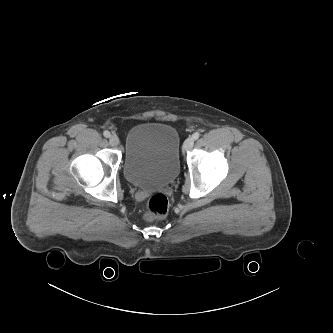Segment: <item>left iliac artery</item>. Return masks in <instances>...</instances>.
Here are the masks:
<instances>
[{"label":"left iliac artery","mask_w":333,"mask_h":333,"mask_svg":"<svg viewBox=\"0 0 333 333\" xmlns=\"http://www.w3.org/2000/svg\"><path fill=\"white\" fill-rule=\"evenodd\" d=\"M199 137H200V133H199V132H195V133L192 135V138H193L194 140H197Z\"/></svg>","instance_id":"44dca946"}]
</instances>
